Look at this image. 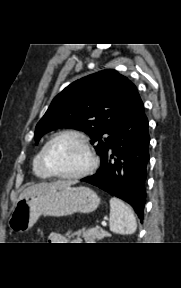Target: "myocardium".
I'll return each mask as SVG.
<instances>
[{"label": "myocardium", "instance_id": "myocardium-1", "mask_svg": "<svg viewBox=\"0 0 181 288\" xmlns=\"http://www.w3.org/2000/svg\"><path fill=\"white\" fill-rule=\"evenodd\" d=\"M74 137L76 138L84 147L86 154H87V164L86 166L81 169L80 171L76 173H71V174H62L54 171L50 165L48 164L47 161V152L49 147L58 139L62 137ZM41 163L44 169L52 176L60 179H79L82 177H85L88 175L90 172H92L96 165H97V159L95 157L94 151L92 149L91 143L89 138L84 134L83 132L75 129H66L62 130L56 134H54L48 141L47 143L43 146L41 150Z\"/></svg>", "mask_w": 181, "mask_h": 288}]
</instances>
